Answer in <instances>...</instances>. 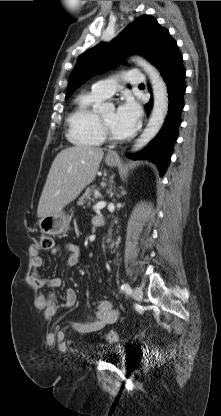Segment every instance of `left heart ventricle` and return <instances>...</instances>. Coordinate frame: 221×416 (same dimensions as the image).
<instances>
[{
  "label": "left heart ventricle",
  "mask_w": 221,
  "mask_h": 416,
  "mask_svg": "<svg viewBox=\"0 0 221 416\" xmlns=\"http://www.w3.org/2000/svg\"><path fill=\"white\" fill-rule=\"evenodd\" d=\"M101 117L103 118V120L106 122V124L109 126L112 134L116 137H124L125 135H123L121 133V131L119 130L117 124H116V119H115V110L112 109H108L102 113H100Z\"/></svg>",
  "instance_id": "obj_1"
}]
</instances>
